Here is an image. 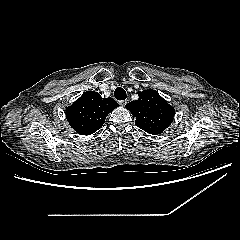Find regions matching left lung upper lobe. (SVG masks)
Here are the masks:
<instances>
[{
  "instance_id": "5c2ea615",
  "label": "left lung upper lobe",
  "mask_w": 240,
  "mask_h": 240,
  "mask_svg": "<svg viewBox=\"0 0 240 240\" xmlns=\"http://www.w3.org/2000/svg\"><path fill=\"white\" fill-rule=\"evenodd\" d=\"M138 95V100L126 105L136 117V126L149 134H160L172 123L174 108L155 90H144Z\"/></svg>"
}]
</instances>
